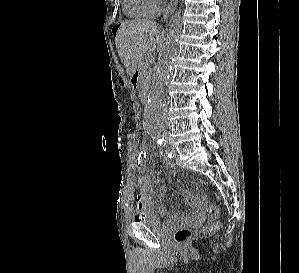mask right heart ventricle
Instances as JSON below:
<instances>
[{"instance_id": "1", "label": "right heart ventricle", "mask_w": 299, "mask_h": 273, "mask_svg": "<svg viewBox=\"0 0 299 273\" xmlns=\"http://www.w3.org/2000/svg\"><path fill=\"white\" fill-rule=\"evenodd\" d=\"M123 9L128 16L138 19L150 18L155 13L146 0H124Z\"/></svg>"}]
</instances>
